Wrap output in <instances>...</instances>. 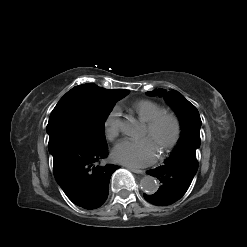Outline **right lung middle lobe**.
Listing matches in <instances>:
<instances>
[{
  "mask_svg": "<svg viewBox=\"0 0 247 247\" xmlns=\"http://www.w3.org/2000/svg\"><path fill=\"white\" fill-rule=\"evenodd\" d=\"M129 90L107 93L98 87L79 85L57 103L47 125L49 135L65 134L94 147L107 146L104 122L115 103Z\"/></svg>",
  "mask_w": 247,
  "mask_h": 247,
  "instance_id": "obj_1",
  "label": "right lung middle lobe"
}]
</instances>
